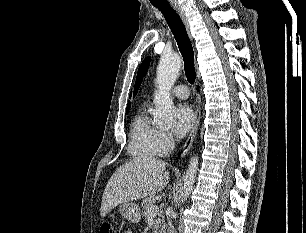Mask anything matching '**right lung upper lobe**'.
<instances>
[{
  "mask_svg": "<svg viewBox=\"0 0 306 233\" xmlns=\"http://www.w3.org/2000/svg\"><path fill=\"white\" fill-rule=\"evenodd\" d=\"M129 109H130V105L128 104L127 109H126V113L129 112Z\"/></svg>",
  "mask_w": 306,
  "mask_h": 233,
  "instance_id": "right-lung-upper-lobe-1",
  "label": "right lung upper lobe"
}]
</instances>
